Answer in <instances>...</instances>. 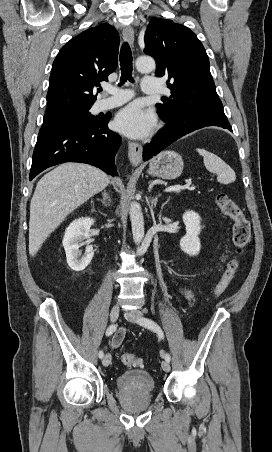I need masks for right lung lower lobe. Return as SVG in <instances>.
<instances>
[{
	"label": "right lung lower lobe",
	"mask_w": 272,
	"mask_h": 452,
	"mask_svg": "<svg viewBox=\"0 0 272 452\" xmlns=\"http://www.w3.org/2000/svg\"><path fill=\"white\" fill-rule=\"evenodd\" d=\"M109 119L104 116L92 122L44 120L33 152L29 180L46 168L64 162L87 163L118 176L114 158L122 140L108 129Z\"/></svg>",
	"instance_id": "right-lung-lower-lobe-1"
}]
</instances>
